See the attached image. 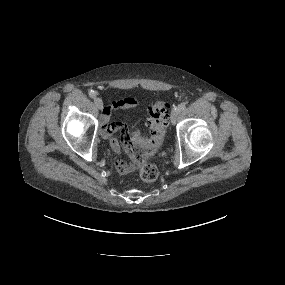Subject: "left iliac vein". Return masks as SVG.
Instances as JSON below:
<instances>
[{"mask_svg":"<svg viewBox=\"0 0 285 285\" xmlns=\"http://www.w3.org/2000/svg\"><path fill=\"white\" fill-rule=\"evenodd\" d=\"M178 115H179V111L177 109H174L171 113V118H170L172 124L176 123Z\"/></svg>","mask_w":285,"mask_h":285,"instance_id":"obj_1","label":"left iliac vein"}]
</instances>
